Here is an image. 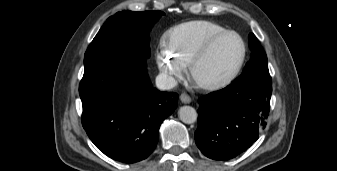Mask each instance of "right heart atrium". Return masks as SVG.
<instances>
[{"label": "right heart atrium", "instance_id": "right-heart-atrium-1", "mask_svg": "<svg viewBox=\"0 0 337 171\" xmlns=\"http://www.w3.org/2000/svg\"><path fill=\"white\" fill-rule=\"evenodd\" d=\"M156 59L161 72L171 82H175L184 75L185 66L174 59L166 47H159Z\"/></svg>", "mask_w": 337, "mask_h": 171}]
</instances>
